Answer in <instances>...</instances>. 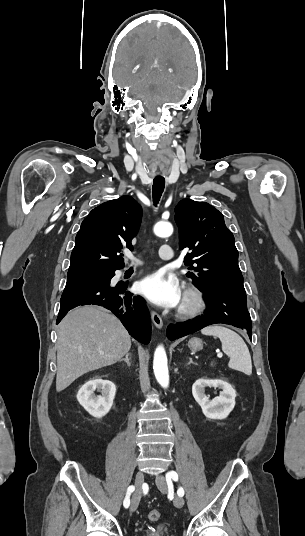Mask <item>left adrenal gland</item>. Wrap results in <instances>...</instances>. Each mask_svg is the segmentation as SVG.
Instances as JSON below:
<instances>
[{
    "mask_svg": "<svg viewBox=\"0 0 305 536\" xmlns=\"http://www.w3.org/2000/svg\"><path fill=\"white\" fill-rule=\"evenodd\" d=\"M189 364H194L192 358H189L188 366H189Z\"/></svg>",
    "mask_w": 305,
    "mask_h": 536,
    "instance_id": "a2214340",
    "label": "left adrenal gland"
}]
</instances>
